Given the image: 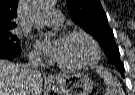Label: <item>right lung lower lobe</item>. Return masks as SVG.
<instances>
[{"instance_id": "obj_1", "label": "right lung lower lobe", "mask_w": 135, "mask_h": 95, "mask_svg": "<svg viewBox=\"0 0 135 95\" xmlns=\"http://www.w3.org/2000/svg\"><path fill=\"white\" fill-rule=\"evenodd\" d=\"M20 53H21L20 48L11 49V50H3V51H0V58H2V59L15 58V57L19 56Z\"/></svg>"}]
</instances>
